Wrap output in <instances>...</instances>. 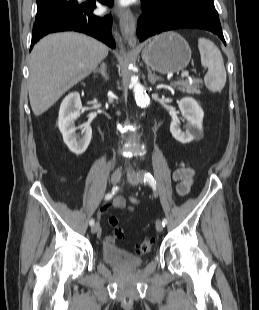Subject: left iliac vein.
Returning a JSON list of instances; mask_svg holds the SVG:
<instances>
[{"instance_id":"4c4485c4","label":"left iliac vein","mask_w":259,"mask_h":310,"mask_svg":"<svg viewBox=\"0 0 259 310\" xmlns=\"http://www.w3.org/2000/svg\"><path fill=\"white\" fill-rule=\"evenodd\" d=\"M127 178H128V181L132 184V185H138L141 178L139 177L138 173H136L134 170L130 169L128 170L127 172ZM155 227H156V230L158 232H162L163 230V225H162V222L160 220H156V223H155Z\"/></svg>"}]
</instances>
